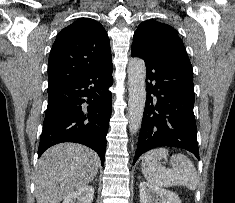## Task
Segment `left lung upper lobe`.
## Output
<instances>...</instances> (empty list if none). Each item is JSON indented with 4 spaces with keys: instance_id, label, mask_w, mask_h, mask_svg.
I'll use <instances>...</instances> for the list:
<instances>
[{
    "instance_id": "1",
    "label": "left lung upper lobe",
    "mask_w": 235,
    "mask_h": 203,
    "mask_svg": "<svg viewBox=\"0 0 235 203\" xmlns=\"http://www.w3.org/2000/svg\"><path fill=\"white\" fill-rule=\"evenodd\" d=\"M193 74L184 44L170 25L154 20L142 22L133 37L132 48Z\"/></svg>"
}]
</instances>
